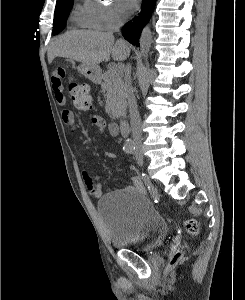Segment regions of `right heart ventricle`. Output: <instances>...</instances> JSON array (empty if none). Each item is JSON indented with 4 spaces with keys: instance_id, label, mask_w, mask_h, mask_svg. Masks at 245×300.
<instances>
[{
    "instance_id": "e07e8e85",
    "label": "right heart ventricle",
    "mask_w": 245,
    "mask_h": 300,
    "mask_svg": "<svg viewBox=\"0 0 245 300\" xmlns=\"http://www.w3.org/2000/svg\"><path fill=\"white\" fill-rule=\"evenodd\" d=\"M72 22L83 28H92L96 27L92 16L85 4L83 6H77L72 15Z\"/></svg>"
}]
</instances>
